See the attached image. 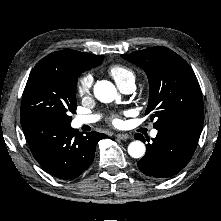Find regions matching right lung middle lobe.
I'll return each mask as SVG.
<instances>
[{
    "label": "right lung middle lobe",
    "mask_w": 221,
    "mask_h": 221,
    "mask_svg": "<svg viewBox=\"0 0 221 221\" xmlns=\"http://www.w3.org/2000/svg\"><path fill=\"white\" fill-rule=\"evenodd\" d=\"M77 78L57 70H32L22 96L21 120L44 118L70 124L76 112Z\"/></svg>",
    "instance_id": "obj_1"
}]
</instances>
